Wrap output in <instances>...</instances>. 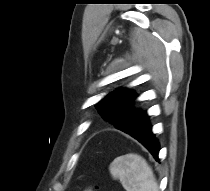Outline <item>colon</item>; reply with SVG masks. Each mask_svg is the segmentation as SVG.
Listing matches in <instances>:
<instances>
[{
    "label": "colon",
    "mask_w": 210,
    "mask_h": 191,
    "mask_svg": "<svg viewBox=\"0 0 210 191\" xmlns=\"http://www.w3.org/2000/svg\"><path fill=\"white\" fill-rule=\"evenodd\" d=\"M97 187H87L84 191H97Z\"/></svg>",
    "instance_id": "1"
}]
</instances>
